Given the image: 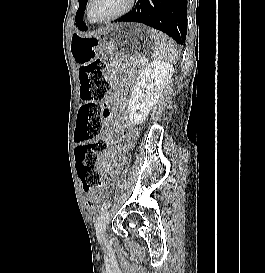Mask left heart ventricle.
Listing matches in <instances>:
<instances>
[{
    "mask_svg": "<svg viewBox=\"0 0 265 273\" xmlns=\"http://www.w3.org/2000/svg\"><path fill=\"white\" fill-rule=\"evenodd\" d=\"M127 3L128 0H92L91 17L96 20L105 19L122 10Z\"/></svg>",
    "mask_w": 265,
    "mask_h": 273,
    "instance_id": "obj_1",
    "label": "left heart ventricle"
}]
</instances>
